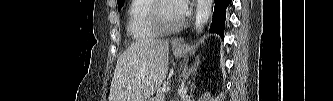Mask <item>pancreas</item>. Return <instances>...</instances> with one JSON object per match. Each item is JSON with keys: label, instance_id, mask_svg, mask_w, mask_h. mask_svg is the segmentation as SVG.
I'll list each match as a JSON object with an SVG mask.
<instances>
[{"label": "pancreas", "instance_id": "obj_1", "mask_svg": "<svg viewBox=\"0 0 333 101\" xmlns=\"http://www.w3.org/2000/svg\"><path fill=\"white\" fill-rule=\"evenodd\" d=\"M164 98L163 88L161 87L157 90L154 101H164Z\"/></svg>", "mask_w": 333, "mask_h": 101}]
</instances>
